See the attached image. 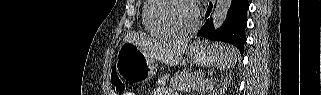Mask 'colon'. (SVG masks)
Wrapping results in <instances>:
<instances>
[{"label":"colon","mask_w":321,"mask_h":95,"mask_svg":"<svg viewBox=\"0 0 321 95\" xmlns=\"http://www.w3.org/2000/svg\"><path fill=\"white\" fill-rule=\"evenodd\" d=\"M111 83L117 93H124L125 84L116 72H112L111 74Z\"/></svg>","instance_id":"5ec220e1"}]
</instances>
